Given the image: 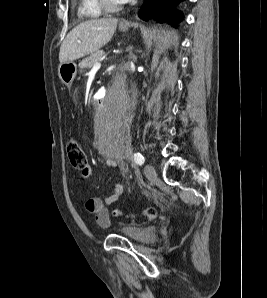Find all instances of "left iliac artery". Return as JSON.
Instances as JSON below:
<instances>
[{"label": "left iliac artery", "mask_w": 267, "mask_h": 298, "mask_svg": "<svg viewBox=\"0 0 267 298\" xmlns=\"http://www.w3.org/2000/svg\"><path fill=\"white\" fill-rule=\"evenodd\" d=\"M134 160H135L136 164H138L140 166L143 165L145 162V158L140 152H136L134 154Z\"/></svg>", "instance_id": "obj_1"}]
</instances>
